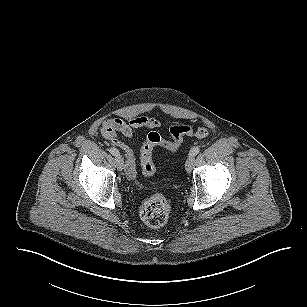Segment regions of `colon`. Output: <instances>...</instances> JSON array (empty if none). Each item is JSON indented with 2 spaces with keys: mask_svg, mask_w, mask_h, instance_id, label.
<instances>
[{
  "mask_svg": "<svg viewBox=\"0 0 307 307\" xmlns=\"http://www.w3.org/2000/svg\"><path fill=\"white\" fill-rule=\"evenodd\" d=\"M170 139H164L157 132H150L141 147V165L143 174L152 176L155 173L153 163V150L156 146L162 147L170 152H176L181 147L186 136L195 135L204 138L208 135V129L199 127L195 131L187 124H174L169 129ZM140 217L151 227L164 225L170 216V205L166 197L161 194L147 196L140 207Z\"/></svg>",
  "mask_w": 307,
  "mask_h": 307,
  "instance_id": "5ec220e1",
  "label": "colon"
}]
</instances>
